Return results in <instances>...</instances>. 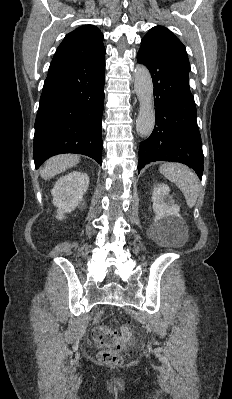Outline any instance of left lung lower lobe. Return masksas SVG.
<instances>
[{"mask_svg": "<svg viewBox=\"0 0 232 399\" xmlns=\"http://www.w3.org/2000/svg\"><path fill=\"white\" fill-rule=\"evenodd\" d=\"M137 62L151 73L156 112L152 134L140 143L138 173L150 162L172 161L188 165L201 179L202 142L188 74L174 58L157 47L141 45Z\"/></svg>", "mask_w": 232, "mask_h": 399, "instance_id": "1", "label": "left lung lower lobe"}]
</instances>
